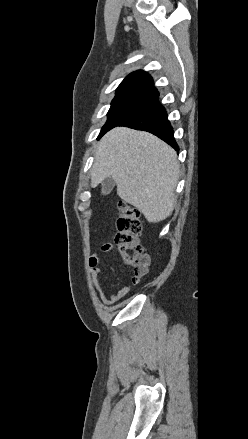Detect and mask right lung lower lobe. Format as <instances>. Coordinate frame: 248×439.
I'll use <instances>...</instances> for the list:
<instances>
[{"instance_id":"98d812e1","label":"right lung lower lobe","mask_w":248,"mask_h":439,"mask_svg":"<svg viewBox=\"0 0 248 439\" xmlns=\"http://www.w3.org/2000/svg\"><path fill=\"white\" fill-rule=\"evenodd\" d=\"M116 126H126L136 130L150 132L164 140L177 152L179 151L174 139L173 128L167 118V112L160 104L158 97L108 128L102 135Z\"/></svg>"}]
</instances>
